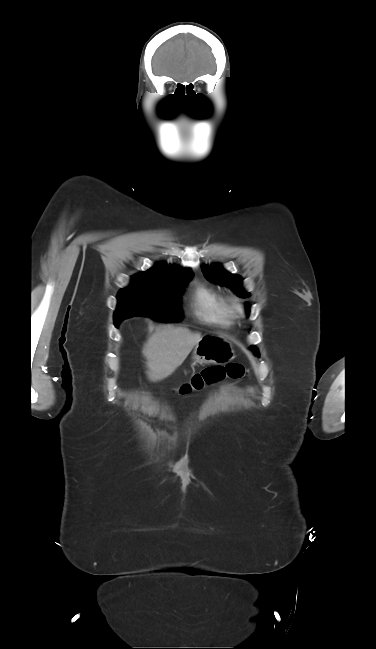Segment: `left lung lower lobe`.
<instances>
[{"label":"left lung lower lobe","instance_id":"obj_1","mask_svg":"<svg viewBox=\"0 0 376 649\" xmlns=\"http://www.w3.org/2000/svg\"><path fill=\"white\" fill-rule=\"evenodd\" d=\"M251 349L255 351L256 355H258V349L255 346H252Z\"/></svg>","mask_w":376,"mask_h":649}]
</instances>
